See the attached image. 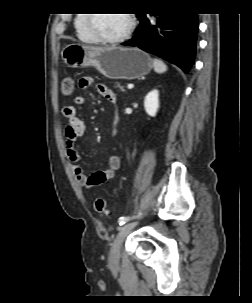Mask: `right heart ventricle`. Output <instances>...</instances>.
Here are the masks:
<instances>
[{"instance_id": "right-heart-ventricle-1", "label": "right heart ventricle", "mask_w": 252, "mask_h": 303, "mask_svg": "<svg viewBox=\"0 0 252 303\" xmlns=\"http://www.w3.org/2000/svg\"><path fill=\"white\" fill-rule=\"evenodd\" d=\"M75 26L77 28L78 34L86 39H90L92 37L91 32L88 28V17L81 16V14L75 19Z\"/></svg>"}]
</instances>
